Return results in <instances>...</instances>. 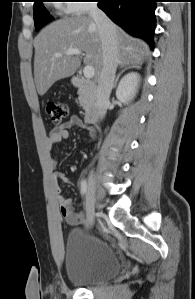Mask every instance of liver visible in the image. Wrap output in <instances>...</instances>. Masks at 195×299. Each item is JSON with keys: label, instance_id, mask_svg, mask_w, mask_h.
I'll list each match as a JSON object with an SVG mask.
<instances>
[{"label": "liver", "instance_id": "obj_1", "mask_svg": "<svg viewBox=\"0 0 195 299\" xmlns=\"http://www.w3.org/2000/svg\"><path fill=\"white\" fill-rule=\"evenodd\" d=\"M115 27L119 43L118 64H142L149 54L148 45ZM34 48V80L37 92L41 96L56 81L72 76L80 66L78 55L65 54L70 48L85 52L84 62L94 68L95 77L99 80L103 53L97 25L90 16L66 17L51 23L36 36ZM56 53H61L62 56L56 57Z\"/></svg>", "mask_w": 195, "mask_h": 299}]
</instances>
